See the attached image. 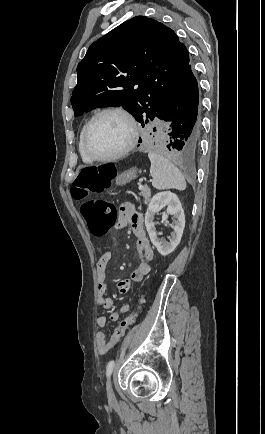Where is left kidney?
<instances>
[{"label": "left kidney", "instance_id": "obj_1", "mask_svg": "<svg viewBox=\"0 0 265 434\" xmlns=\"http://www.w3.org/2000/svg\"><path fill=\"white\" fill-rule=\"evenodd\" d=\"M160 204L168 206L167 212L162 216V222H167L168 214H173V218H176L175 222H173L174 226H172V228L174 232L171 234L170 242H162V240L157 238L155 222H153V220L155 214L160 212ZM145 226L153 246L157 248L161 256H168V254L174 252L175 248H177L178 244L181 242L185 228L184 210L176 194H172V192H159V194L153 196L145 214Z\"/></svg>", "mask_w": 265, "mask_h": 434}]
</instances>
